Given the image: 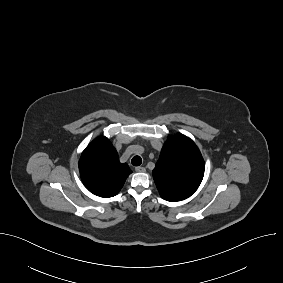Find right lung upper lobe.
Segmentation results:
<instances>
[{"label": "right lung upper lobe", "mask_w": 283, "mask_h": 283, "mask_svg": "<svg viewBox=\"0 0 283 283\" xmlns=\"http://www.w3.org/2000/svg\"><path fill=\"white\" fill-rule=\"evenodd\" d=\"M81 179L86 188L100 197H113L132 173L126 163H120L118 153L106 137L92 141L79 160Z\"/></svg>", "instance_id": "cb5924a9"}]
</instances>
